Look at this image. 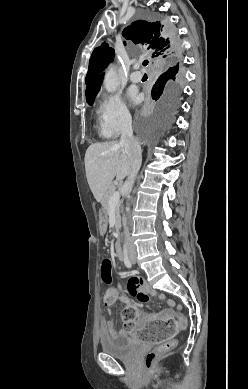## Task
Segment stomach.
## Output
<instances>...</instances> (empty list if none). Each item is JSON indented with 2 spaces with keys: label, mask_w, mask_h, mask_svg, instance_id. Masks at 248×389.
I'll return each instance as SVG.
<instances>
[{
  "label": "stomach",
  "mask_w": 248,
  "mask_h": 389,
  "mask_svg": "<svg viewBox=\"0 0 248 389\" xmlns=\"http://www.w3.org/2000/svg\"><path fill=\"white\" fill-rule=\"evenodd\" d=\"M107 212H108V209L106 207L100 208V225H101V227H100L99 233L101 235H104L106 233L107 220L110 219V214Z\"/></svg>",
  "instance_id": "obj_1"
}]
</instances>
